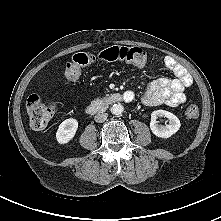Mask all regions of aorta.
I'll list each match as a JSON object with an SVG mask.
<instances>
[{"mask_svg": "<svg viewBox=\"0 0 221 221\" xmlns=\"http://www.w3.org/2000/svg\"><path fill=\"white\" fill-rule=\"evenodd\" d=\"M111 113L114 115H120L124 111V107L120 103L113 104L111 107Z\"/></svg>", "mask_w": 221, "mask_h": 221, "instance_id": "1", "label": "aorta"}]
</instances>
